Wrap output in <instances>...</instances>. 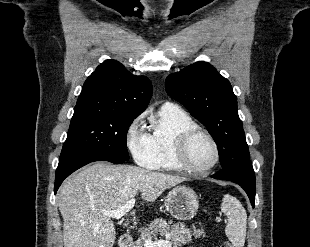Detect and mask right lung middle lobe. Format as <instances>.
<instances>
[{"label": "right lung middle lobe", "instance_id": "right-lung-middle-lobe-1", "mask_svg": "<svg viewBox=\"0 0 310 247\" xmlns=\"http://www.w3.org/2000/svg\"><path fill=\"white\" fill-rule=\"evenodd\" d=\"M136 117L115 112L74 111L60 160L75 155L128 160L126 134Z\"/></svg>", "mask_w": 310, "mask_h": 247}]
</instances>
